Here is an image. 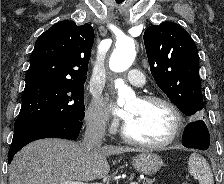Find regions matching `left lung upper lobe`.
Listing matches in <instances>:
<instances>
[{
	"mask_svg": "<svg viewBox=\"0 0 224 184\" xmlns=\"http://www.w3.org/2000/svg\"><path fill=\"white\" fill-rule=\"evenodd\" d=\"M144 44L159 88L185 115L199 119L203 96L198 52L191 36L178 24L166 21L145 30Z\"/></svg>",
	"mask_w": 224,
	"mask_h": 184,
	"instance_id": "obj_1",
	"label": "left lung upper lobe"
}]
</instances>
